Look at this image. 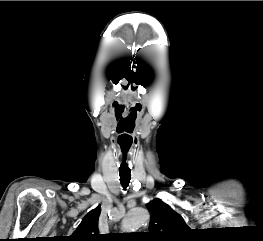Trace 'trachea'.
Instances as JSON below:
<instances>
[{
    "mask_svg": "<svg viewBox=\"0 0 263 241\" xmlns=\"http://www.w3.org/2000/svg\"><path fill=\"white\" fill-rule=\"evenodd\" d=\"M120 182L124 189L129 185L131 179V171L126 169L119 170Z\"/></svg>",
    "mask_w": 263,
    "mask_h": 241,
    "instance_id": "1",
    "label": "trachea"
}]
</instances>
